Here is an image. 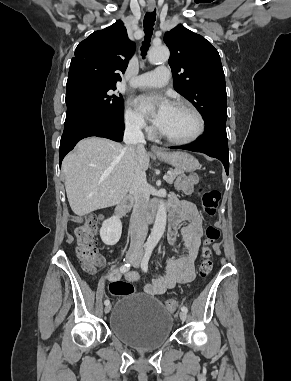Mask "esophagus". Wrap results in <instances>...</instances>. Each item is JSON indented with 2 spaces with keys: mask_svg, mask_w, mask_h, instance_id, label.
<instances>
[{
  "mask_svg": "<svg viewBox=\"0 0 291 381\" xmlns=\"http://www.w3.org/2000/svg\"><path fill=\"white\" fill-rule=\"evenodd\" d=\"M147 7H148V10H149V11H153L154 8H155V3H151V2H149V3L147 4ZM151 151H152L153 153H163V151H162L159 147H157V146H155V145H153V146L151 147Z\"/></svg>",
  "mask_w": 291,
  "mask_h": 381,
  "instance_id": "esophagus-1",
  "label": "esophagus"
}]
</instances>
